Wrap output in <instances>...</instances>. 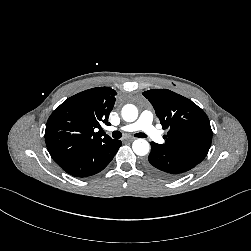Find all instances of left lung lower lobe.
Returning a JSON list of instances; mask_svg holds the SVG:
<instances>
[{
	"label": "left lung lower lobe",
	"mask_w": 251,
	"mask_h": 251,
	"mask_svg": "<svg viewBox=\"0 0 251 251\" xmlns=\"http://www.w3.org/2000/svg\"><path fill=\"white\" fill-rule=\"evenodd\" d=\"M199 160L151 142V152L145 162L147 169L162 179H174L195 167Z\"/></svg>",
	"instance_id": "1"
}]
</instances>
